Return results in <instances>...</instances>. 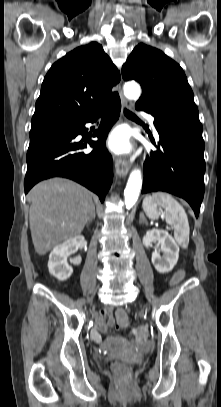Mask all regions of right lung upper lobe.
<instances>
[{"label":"right lung upper lobe","instance_id":"obj_1","mask_svg":"<svg viewBox=\"0 0 221 407\" xmlns=\"http://www.w3.org/2000/svg\"><path fill=\"white\" fill-rule=\"evenodd\" d=\"M120 74L97 42L55 62L44 78L31 128L79 120L119 99L112 87Z\"/></svg>","mask_w":221,"mask_h":407}]
</instances>
